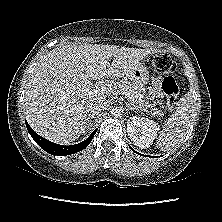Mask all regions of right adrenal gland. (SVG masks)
<instances>
[{
    "label": "right adrenal gland",
    "mask_w": 222,
    "mask_h": 222,
    "mask_svg": "<svg viewBox=\"0 0 222 222\" xmlns=\"http://www.w3.org/2000/svg\"><path fill=\"white\" fill-rule=\"evenodd\" d=\"M93 118H94V115H92V116L90 117V123L88 124V127L92 125Z\"/></svg>",
    "instance_id": "2a0ac1e0"
}]
</instances>
